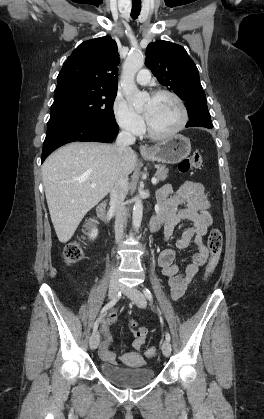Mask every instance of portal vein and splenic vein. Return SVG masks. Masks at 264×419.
I'll use <instances>...</instances> for the list:
<instances>
[{"mask_svg": "<svg viewBox=\"0 0 264 419\" xmlns=\"http://www.w3.org/2000/svg\"><path fill=\"white\" fill-rule=\"evenodd\" d=\"M157 182H158V181H157V178H155V177H154V178H152V184H153V185H156V184H157ZM91 187H96V183H94V182H93V183H91Z\"/></svg>", "mask_w": 264, "mask_h": 419, "instance_id": "obj_1", "label": "portal vein and splenic vein"}]
</instances>
